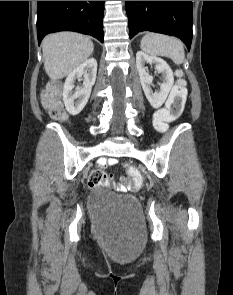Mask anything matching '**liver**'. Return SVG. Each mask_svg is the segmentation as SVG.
Instances as JSON below:
<instances>
[{"mask_svg":"<svg viewBox=\"0 0 233 295\" xmlns=\"http://www.w3.org/2000/svg\"><path fill=\"white\" fill-rule=\"evenodd\" d=\"M44 69L53 81L64 78L93 53L91 39L74 32L46 36L42 42Z\"/></svg>","mask_w":233,"mask_h":295,"instance_id":"1","label":"liver"}]
</instances>
